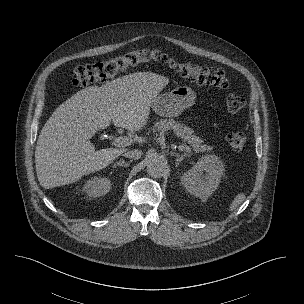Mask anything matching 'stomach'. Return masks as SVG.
<instances>
[{
  "instance_id": "stomach-1",
  "label": "stomach",
  "mask_w": 304,
  "mask_h": 304,
  "mask_svg": "<svg viewBox=\"0 0 304 304\" xmlns=\"http://www.w3.org/2000/svg\"><path fill=\"white\" fill-rule=\"evenodd\" d=\"M196 94L187 86H179L170 92L157 96L152 102V108L156 114L163 117H176L183 110L195 103Z\"/></svg>"
}]
</instances>
